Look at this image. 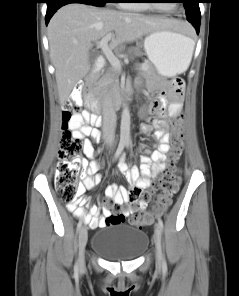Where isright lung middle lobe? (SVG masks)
Here are the masks:
<instances>
[{
    "mask_svg": "<svg viewBox=\"0 0 239 296\" xmlns=\"http://www.w3.org/2000/svg\"><path fill=\"white\" fill-rule=\"evenodd\" d=\"M86 4L94 5V6H104L105 3H108L109 0H80Z\"/></svg>",
    "mask_w": 239,
    "mask_h": 296,
    "instance_id": "dd1d6c3e",
    "label": "right lung middle lobe"
}]
</instances>
